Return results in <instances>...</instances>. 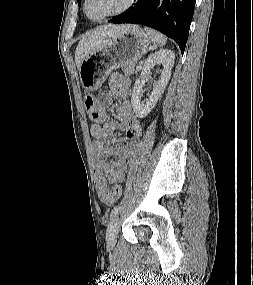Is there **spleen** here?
Returning a JSON list of instances; mask_svg holds the SVG:
<instances>
[{
    "label": "spleen",
    "mask_w": 253,
    "mask_h": 285,
    "mask_svg": "<svg viewBox=\"0 0 253 285\" xmlns=\"http://www.w3.org/2000/svg\"><path fill=\"white\" fill-rule=\"evenodd\" d=\"M144 31L155 45L162 47L166 44L167 38L162 33L147 27L144 28Z\"/></svg>",
    "instance_id": "spleen-1"
}]
</instances>
